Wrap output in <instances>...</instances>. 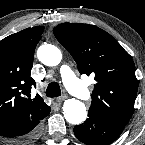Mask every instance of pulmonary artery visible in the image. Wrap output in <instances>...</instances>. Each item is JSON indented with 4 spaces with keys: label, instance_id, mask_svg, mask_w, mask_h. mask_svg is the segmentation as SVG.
<instances>
[{
    "label": "pulmonary artery",
    "instance_id": "pulmonary-artery-1",
    "mask_svg": "<svg viewBox=\"0 0 145 145\" xmlns=\"http://www.w3.org/2000/svg\"><path fill=\"white\" fill-rule=\"evenodd\" d=\"M61 77L69 90L78 98L84 101L90 99V93L88 89L78 80L71 69L67 66H63L60 70Z\"/></svg>",
    "mask_w": 145,
    "mask_h": 145
}]
</instances>
